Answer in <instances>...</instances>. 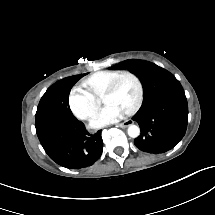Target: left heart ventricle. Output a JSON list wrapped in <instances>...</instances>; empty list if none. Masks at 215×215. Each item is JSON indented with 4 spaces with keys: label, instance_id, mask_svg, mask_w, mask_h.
Masks as SVG:
<instances>
[{
    "label": "left heart ventricle",
    "instance_id": "1",
    "mask_svg": "<svg viewBox=\"0 0 215 215\" xmlns=\"http://www.w3.org/2000/svg\"><path fill=\"white\" fill-rule=\"evenodd\" d=\"M133 95V86L127 79H122L117 91L111 93L109 100L111 104L118 106L121 104H130Z\"/></svg>",
    "mask_w": 215,
    "mask_h": 215
}]
</instances>
